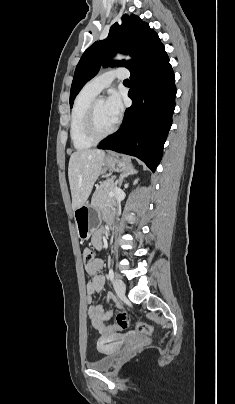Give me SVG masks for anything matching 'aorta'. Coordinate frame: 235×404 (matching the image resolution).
Here are the masks:
<instances>
[{"mask_svg":"<svg viewBox=\"0 0 235 404\" xmlns=\"http://www.w3.org/2000/svg\"><path fill=\"white\" fill-rule=\"evenodd\" d=\"M115 59H116V60L130 59V57H129V56H124V55H121V54H117V55L115 56ZM100 102H103V99H102V98L100 99Z\"/></svg>","mask_w":235,"mask_h":404,"instance_id":"obj_1","label":"aorta"}]
</instances>
